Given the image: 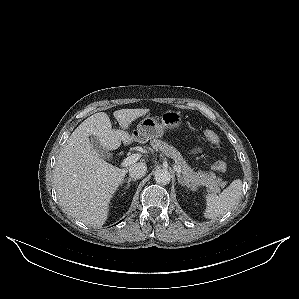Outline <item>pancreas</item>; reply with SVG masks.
Masks as SVG:
<instances>
[{"label": "pancreas", "mask_w": 299, "mask_h": 299, "mask_svg": "<svg viewBox=\"0 0 299 299\" xmlns=\"http://www.w3.org/2000/svg\"><path fill=\"white\" fill-rule=\"evenodd\" d=\"M153 149L160 150L166 156L172 158L175 161L177 167L181 168V173L185 181L191 182L193 185H203L211 192H219L220 187L224 185V182L220 177H217L214 172L205 171H193V169L187 165L180 152L173 146L168 145L166 142L158 139H154L151 142Z\"/></svg>", "instance_id": "cf45deb5"}]
</instances>
